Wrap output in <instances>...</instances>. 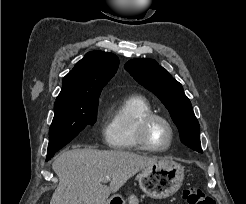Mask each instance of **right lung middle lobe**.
I'll list each match as a JSON object with an SVG mask.
<instances>
[{
    "label": "right lung middle lobe",
    "instance_id": "dd1d6c3e",
    "mask_svg": "<svg viewBox=\"0 0 246 204\" xmlns=\"http://www.w3.org/2000/svg\"><path fill=\"white\" fill-rule=\"evenodd\" d=\"M98 98L99 95H94L80 100L55 103V115L49 129L47 159L52 158L87 125L96 122Z\"/></svg>",
    "mask_w": 246,
    "mask_h": 204
}]
</instances>
